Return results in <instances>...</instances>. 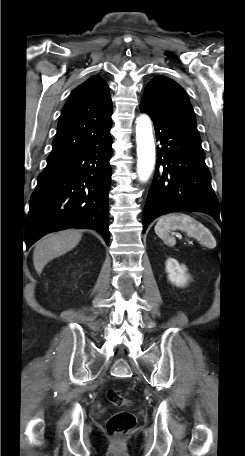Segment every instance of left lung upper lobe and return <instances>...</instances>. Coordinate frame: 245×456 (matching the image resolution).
Returning a JSON list of instances; mask_svg holds the SVG:
<instances>
[{
	"label": "left lung upper lobe",
	"instance_id": "obj_1",
	"mask_svg": "<svg viewBox=\"0 0 245 456\" xmlns=\"http://www.w3.org/2000/svg\"><path fill=\"white\" fill-rule=\"evenodd\" d=\"M140 106L198 133L194 111L187 94L178 83L169 78H153L145 87Z\"/></svg>",
	"mask_w": 245,
	"mask_h": 456
}]
</instances>
